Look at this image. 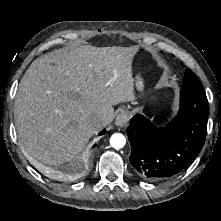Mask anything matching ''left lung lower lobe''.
I'll return each mask as SVG.
<instances>
[{"label":"left lung lower lobe","mask_w":221,"mask_h":221,"mask_svg":"<svg viewBox=\"0 0 221 221\" xmlns=\"http://www.w3.org/2000/svg\"><path fill=\"white\" fill-rule=\"evenodd\" d=\"M206 94L180 91V110L165 128L157 129L136 115L126 132L132 146L130 163L148 181L170 179L188 167L201 151L207 130Z\"/></svg>","instance_id":"left-lung-lower-lobe-1"}]
</instances>
